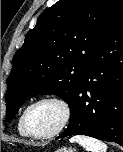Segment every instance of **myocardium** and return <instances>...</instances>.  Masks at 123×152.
I'll list each match as a JSON object with an SVG mask.
<instances>
[{
    "label": "myocardium",
    "instance_id": "obj_1",
    "mask_svg": "<svg viewBox=\"0 0 123 152\" xmlns=\"http://www.w3.org/2000/svg\"><path fill=\"white\" fill-rule=\"evenodd\" d=\"M43 102H53V103H56L57 105H59L63 112V118H62L61 123L55 130H53L49 133H46V134H36L29 129L28 124H27V117H28L29 111L34 106H36L40 103H43ZM70 119H71V107H70L69 103L66 101V99H64L63 97L58 96V95L50 94V95H44V96L36 99L32 103H30L23 111L21 121H22L23 129L29 137H32L35 139H49V138H53V137L59 135L62 131H64V129L69 124Z\"/></svg>",
    "mask_w": 123,
    "mask_h": 152
}]
</instances>
